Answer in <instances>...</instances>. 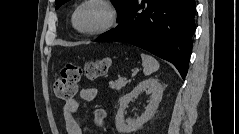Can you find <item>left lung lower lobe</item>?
<instances>
[{"instance_id":"1","label":"left lung lower lobe","mask_w":239,"mask_h":134,"mask_svg":"<svg viewBox=\"0 0 239 134\" xmlns=\"http://www.w3.org/2000/svg\"><path fill=\"white\" fill-rule=\"evenodd\" d=\"M195 0H134L114 29L95 41H118L171 62L183 79L195 30Z\"/></svg>"}]
</instances>
